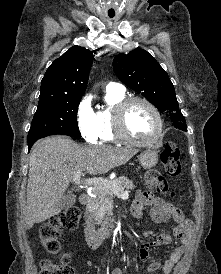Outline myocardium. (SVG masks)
<instances>
[{
    "instance_id": "f54148a6",
    "label": "myocardium",
    "mask_w": 221,
    "mask_h": 274,
    "mask_svg": "<svg viewBox=\"0 0 221 274\" xmlns=\"http://www.w3.org/2000/svg\"><path fill=\"white\" fill-rule=\"evenodd\" d=\"M134 103H142L146 105L153 113L156 120V131L154 135L148 140H136L130 137L125 130V114L128 108ZM113 129L115 136L119 141L133 146L146 147L155 144L159 140L163 131V119L158 108L150 100L144 97L134 96L125 98L115 106L113 111Z\"/></svg>"
}]
</instances>
